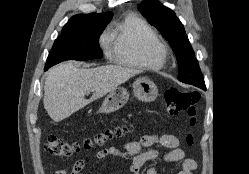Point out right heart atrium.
I'll use <instances>...</instances> for the list:
<instances>
[{
	"label": "right heart atrium",
	"mask_w": 249,
	"mask_h": 174,
	"mask_svg": "<svg viewBox=\"0 0 249 174\" xmlns=\"http://www.w3.org/2000/svg\"><path fill=\"white\" fill-rule=\"evenodd\" d=\"M100 43L102 45V47L105 50V53L107 55L110 54V40H109V36L107 34H103L100 38Z\"/></svg>",
	"instance_id": "1"
}]
</instances>
